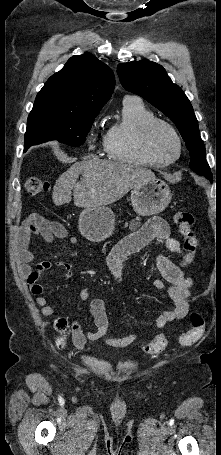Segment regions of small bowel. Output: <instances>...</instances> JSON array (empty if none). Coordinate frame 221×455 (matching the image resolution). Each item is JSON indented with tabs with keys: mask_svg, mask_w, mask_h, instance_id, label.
<instances>
[{
	"mask_svg": "<svg viewBox=\"0 0 221 455\" xmlns=\"http://www.w3.org/2000/svg\"><path fill=\"white\" fill-rule=\"evenodd\" d=\"M34 234H40L50 243H54L58 239L66 240L65 244L60 245L63 249H69L78 244L79 238L75 235H70L66 227L61 223L45 219L38 214L31 215L27 218L20 229L17 253L20 263L25 267L28 286L36 296V302L42 314L53 316L56 313V309L43 296L44 287L39 283L40 274L45 271L52 272L53 267L49 262L31 264L34 257L31 250V236ZM151 243L156 246H164L167 250L178 256L183 255L180 243L172 236L168 224L163 219L154 217L141 229L123 238L107 256V267L117 282L122 281L125 260ZM57 265L65 269V277H71L72 265L69 262L60 261ZM155 265L162 279H156L154 286L167 296L171 304V308L160 314L156 319L155 326L161 329L168 323L187 316L189 312L187 300L190 296L193 282L185 276L179 266L162 254H158L155 257ZM80 297L83 300L90 299V289H82ZM89 309L94 318L96 330L83 331L77 321H73L71 324L73 341L79 350L85 349L87 341L103 340L111 347L126 348L137 340V333L120 338L105 337L108 330V317L105 303L102 299H91Z\"/></svg>",
	"mask_w": 221,
	"mask_h": 455,
	"instance_id": "1",
	"label": "small bowel"
}]
</instances>
